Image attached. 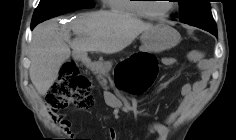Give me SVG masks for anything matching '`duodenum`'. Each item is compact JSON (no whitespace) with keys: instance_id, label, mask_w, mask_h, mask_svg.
<instances>
[{"instance_id":"1","label":"duodenum","mask_w":236,"mask_h":140,"mask_svg":"<svg viewBox=\"0 0 236 140\" xmlns=\"http://www.w3.org/2000/svg\"><path fill=\"white\" fill-rule=\"evenodd\" d=\"M84 55V53H78V56L79 57H81V56H83Z\"/></svg>"}]
</instances>
